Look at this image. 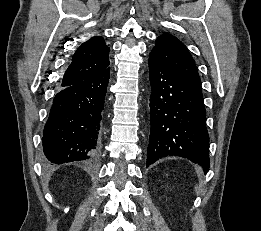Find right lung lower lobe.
I'll return each instance as SVG.
<instances>
[{
  "instance_id": "1",
  "label": "right lung lower lobe",
  "mask_w": 261,
  "mask_h": 231,
  "mask_svg": "<svg viewBox=\"0 0 261 231\" xmlns=\"http://www.w3.org/2000/svg\"><path fill=\"white\" fill-rule=\"evenodd\" d=\"M110 67L64 87L53 99L43 131V151L48 166L95 157Z\"/></svg>"
}]
</instances>
